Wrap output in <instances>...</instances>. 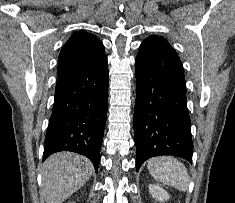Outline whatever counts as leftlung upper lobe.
<instances>
[{
  "label": "left lung upper lobe",
  "mask_w": 235,
  "mask_h": 203,
  "mask_svg": "<svg viewBox=\"0 0 235 203\" xmlns=\"http://www.w3.org/2000/svg\"><path fill=\"white\" fill-rule=\"evenodd\" d=\"M147 39H162V40H165V39H163V38H161V37H158V36L148 37ZM165 41H167V40H165ZM167 42H168V41H167Z\"/></svg>",
  "instance_id": "obj_1"
}]
</instances>
